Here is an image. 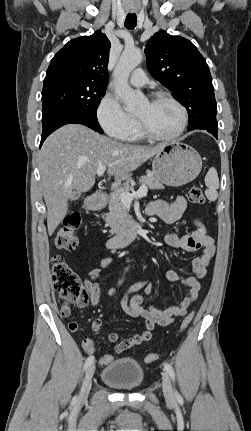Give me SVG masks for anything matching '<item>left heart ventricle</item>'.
I'll list each match as a JSON object with an SVG mask.
<instances>
[{"label": "left heart ventricle", "instance_id": "obj_1", "mask_svg": "<svg viewBox=\"0 0 251 431\" xmlns=\"http://www.w3.org/2000/svg\"><path fill=\"white\" fill-rule=\"evenodd\" d=\"M135 115L141 118L152 132L163 136L174 133L181 122L180 111L168 101H145L138 107Z\"/></svg>", "mask_w": 251, "mask_h": 431}]
</instances>
